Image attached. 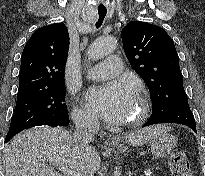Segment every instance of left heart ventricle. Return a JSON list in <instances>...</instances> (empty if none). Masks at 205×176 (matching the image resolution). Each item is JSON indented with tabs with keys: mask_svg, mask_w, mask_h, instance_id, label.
I'll return each mask as SVG.
<instances>
[{
	"mask_svg": "<svg viewBox=\"0 0 205 176\" xmlns=\"http://www.w3.org/2000/svg\"><path fill=\"white\" fill-rule=\"evenodd\" d=\"M140 111V104L137 99H135L133 105L125 115V117L122 119V122H127L129 120H132L134 117L138 115Z\"/></svg>",
	"mask_w": 205,
	"mask_h": 176,
	"instance_id": "1",
	"label": "left heart ventricle"
}]
</instances>
